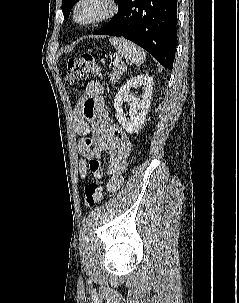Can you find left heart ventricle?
Segmentation results:
<instances>
[{
	"instance_id": "1",
	"label": "left heart ventricle",
	"mask_w": 239,
	"mask_h": 303,
	"mask_svg": "<svg viewBox=\"0 0 239 303\" xmlns=\"http://www.w3.org/2000/svg\"><path fill=\"white\" fill-rule=\"evenodd\" d=\"M105 8V5L101 0H87L83 5H81L79 10V19L88 20L98 14H100Z\"/></svg>"
}]
</instances>
